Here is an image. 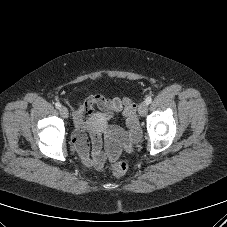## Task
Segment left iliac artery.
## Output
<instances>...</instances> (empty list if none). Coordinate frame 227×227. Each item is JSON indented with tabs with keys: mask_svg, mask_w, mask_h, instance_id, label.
Returning a JSON list of instances; mask_svg holds the SVG:
<instances>
[{
	"mask_svg": "<svg viewBox=\"0 0 227 227\" xmlns=\"http://www.w3.org/2000/svg\"><path fill=\"white\" fill-rule=\"evenodd\" d=\"M145 102H146L147 104H150V103L152 102L151 96H148V97L146 98Z\"/></svg>",
	"mask_w": 227,
	"mask_h": 227,
	"instance_id": "1",
	"label": "left iliac artery"
}]
</instances>
